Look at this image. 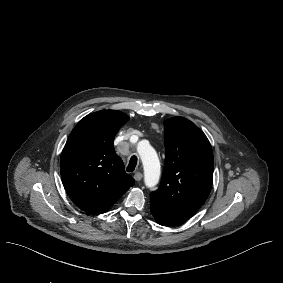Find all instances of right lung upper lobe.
I'll return each instance as SVG.
<instances>
[{
	"mask_svg": "<svg viewBox=\"0 0 283 283\" xmlns=\"http://www.w3.org/2000/svg\"><path fill=\"white\" fill-rule=\"evenodd\" d=\"M128 116L116 110L91 113L78 122L60 159L63 185L82 210L102 214L134 185L113 141Z\"/></svg>",
	"mask_w": 283,
	"mask_h": 283,
	"instance_id": "right-lung-upper-lobe-1",
	"label": "right lung upper lobe"
}]
</instances>
